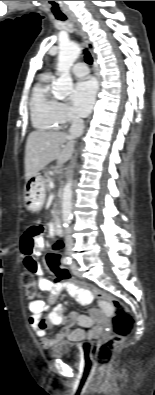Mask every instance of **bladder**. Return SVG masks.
Wrapping results in <instances>:
<instances>
[{
    "label": "bladder",
    "instance_id": "bladder-1",
    "mask_svg": "<svg viewBox=\"0 0 155 395\" xmlns=\"http://www.w3.org/2000/svg\"><path fill=\"white\" fill-rule=\"evenodd\" d=\"M51 354L54 357L65 358L70 362L78 363L83 358L84 352L80 345L71 341L61 340L52 347Z\"/></svg>",
    "mask_w": 155,
    "mask_h": 395
}]
</instances>
